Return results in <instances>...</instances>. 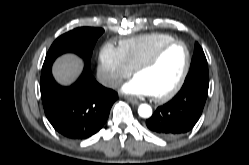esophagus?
<instances>
[{
    "instance_id": "obj_1",
    "label": "esophagus",
    "mask_w": 249,
    "mask_h": 165,
    "mask_svg": "<svg viewBox=\"0 0 249 165\" xmlns=\"http://www.w3.org/2000/svg\"><path fill=\"white\" fill-rule=\"evenodd\" d=\"M126 99L131 103V104H134V105H137L139 104V101L132 98V97H126Z\"/></svg>"
}]
</instances>
